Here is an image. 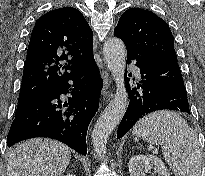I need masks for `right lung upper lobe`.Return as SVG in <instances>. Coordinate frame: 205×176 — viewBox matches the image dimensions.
I'll use <instances>...</instances> for the list:
<instances>
[{"label":"right lung upper lobe","mask_w":205,"mask_h":176,"mask_svg":"<svg viewBox=\"0 0 205 176\" xmlns=\"http://www.w3.org/2000/svg\"><path fill=\"white\" fill-rule=\"evenodd\" d=\"M93 32L82 13L65 7L41 16L31 34L19 99L32 98L93 59Z\"/></svg>","instance_id":"right-lung-upper-lobe-1"}]
</instances>
